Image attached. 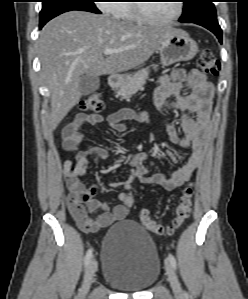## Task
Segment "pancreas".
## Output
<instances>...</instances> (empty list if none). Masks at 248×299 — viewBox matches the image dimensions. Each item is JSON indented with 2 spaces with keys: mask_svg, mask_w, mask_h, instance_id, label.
<instances>
[{
  "mask_svg": "<svg viewBox=\"0 0 248 299\" xmlns=\"http://www.w3.org/2000/svg\"><path fill=\"white\" fill-rule=\"evenodd\" d=\"M148 75V69H142L133 76L128 77L120 86L117 92L118 96L122 97L123 99L130 98L145 84Z\"/></svg>",
  "mask_w": 248,
  "mask_h": 299,
  "instance_id": "pancreas-1",
  "label": "pancreas"
}]
</instances>
